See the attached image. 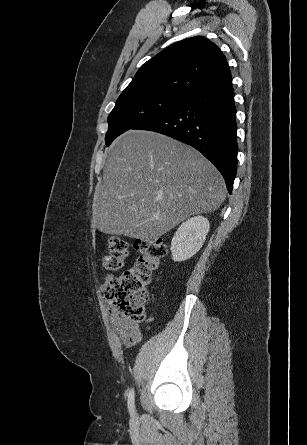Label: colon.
Returning a JSON list of instances; mask_svg holds the SVG:
<instances>
[{
    "mask_svg": "<svg viewBox=\"0 0 307 445\" xmlns=\"http://www.w3.org/2000/svg\"><path fill=\"white\" fill-rule=\"evenodd\" d=\"M108 244L109 252L101 258L102 267L106 271L119 270L128 255V243L121 237L112 236ZM136 248L139 252L136 263L118 277H114L105 291L111 306L125 320L132 323L145 320L149 302L147 287L166 254V245L161 239L139 241Z\"/></svg>",
    "mask_w": 307,
    "mask_h": 445,
    "instance_id": "obj_1",
    "label": "colon"
}]
</instances>
